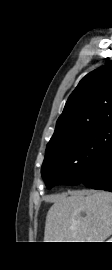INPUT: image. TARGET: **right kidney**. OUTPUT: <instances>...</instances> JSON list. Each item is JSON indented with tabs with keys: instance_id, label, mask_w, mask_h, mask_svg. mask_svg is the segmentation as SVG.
Returning a JSON list of instances; mask_svg holds the SVG:
<instances>
[{
	"instance_id": "ca27d5eb",
	"label": "right kidney",
	"mask_w": 112,
	"mask_h": 270,
	"mask_svg": "<svg viewBox=\"0 0 112 270\" xmlns=\"http://www.w3.org/2000/svg\"><path fill=\"white\" fill-rule=\"evenodd\" d=\"M107 242H112V237H111L110 240H108Z\"/></svg>"
}]
</instances>
